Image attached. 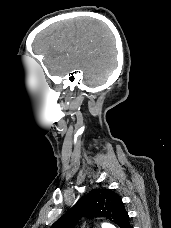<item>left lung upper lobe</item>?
<instances>
[{"mask_svg":"<svg viewBox=\"0 0 171 228\" xmlns=\"http://www.w3.org/2000/svg\"><path fill=\"white\" fill-rule=\"evenodd\" d=\"M81 217H105L120 228L129 222L122 199L110 189H93L83 196L50 228H74Z\"/></svg>","mask_w":171,"mask_h":228,"instance_id":"obj_1","label":"left lung upper lobe"}]
</instances>
